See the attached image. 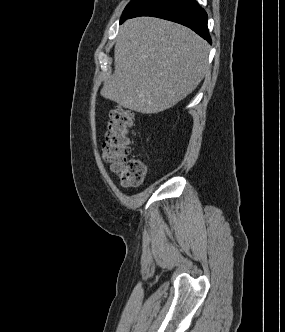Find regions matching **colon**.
Wrapping results in <instances>:
<instances>
[{"label":"colon","instance_id":"obj_1","mask_svg":"<svg viewBox=\"0 0 285 332\" xmlns=\"http://www.w3.org/2000/svg\"><path fill=\"white\" fill-rule=\"evenodd\" d=\"M135 122L134 113L126 108L111 110L102 156L110 170L124 187L140 185L146 176V164L130 156V130Z\"/></svg>","mask_w":285,"mask_h":332}]
</instances>
